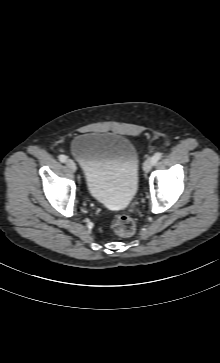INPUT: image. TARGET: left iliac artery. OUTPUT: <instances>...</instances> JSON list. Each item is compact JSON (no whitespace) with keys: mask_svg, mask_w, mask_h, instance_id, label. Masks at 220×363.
<instances>
[{"mask_svg":"<svg viewBox=\"0 0 220 363\" xmlns=\"http://www.w3.org/2000/svg\"><path fill=\"white\" fill-rule=\"evenodd\" d=\"M161 157H162V153H160V152L155 153L151 158L152 165L156 164L161 159Z\"/></svg>","mask_w":220,"mask_h":363,"instance_id":"44dca946","label":"left iliac artery"}]
</instances>
